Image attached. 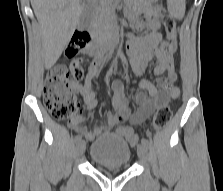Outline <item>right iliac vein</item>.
Returning <instances> with one entry per match:
<instances>
[{
  "instance_id": "1",
  "label": "right iliac vein",
  "mask_w": 223,
  "mask_h": 191,
  "mask_svg": "<svg viewBox=\"0 0 223 191\" xmlns=\"http://www.w3.org/2000/svg\"><path fill=\"white\" fill-rule=\"evenodd\" d=\"M85 147H86V143H85L84 140L80 139L79 141H77L76 154L78 156H81L84 153V151H85Z\"/></svg>"
}]
</instances>
